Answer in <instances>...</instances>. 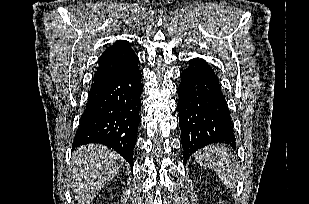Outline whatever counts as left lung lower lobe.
<instances>
[{"label": "left lung lower lobe", "mask_w": 309, "mask_h": 204, "mask_svg": "<svg viewBox=\"0 0 309 204\" xmlns=\"http://www.w3.org/2000/svg\"><path fill=\"white\" fill-rule=\"evenodd\" d=\"M180 77L177 107L184 162L193 152L212 143L236 148L232 119L213 69L204 59L194 58Z\"/></svg>", "instance_id": "left-lung-lower-lobe-1"}]
</instances>
